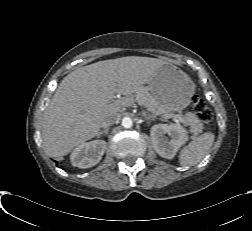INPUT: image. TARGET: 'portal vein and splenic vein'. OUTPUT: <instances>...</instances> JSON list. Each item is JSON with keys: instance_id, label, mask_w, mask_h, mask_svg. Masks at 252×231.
<instances>
[{"instance_id": "18ae733b", "label": "portal vein and splenic vein", "mask_w": 252, "mask_h": 231, "mask_svg": "<svg viewBox=\"0 0 252 231\" xmlns=\"http://www.w3.org/2000/svg\"><path fill=\"white\" fill-rule=\"evenodd\" d=\"M115 93H116L115 90H111V91L108 93V97H109V98H114V97H116V96H115ZM126 102H127L126 104L130 103L129 100H126ZM164 118H172V119H174V121L177 122V123H184L183 117H181L180 115H173V114H172V115H165Z\"/></svg>"}]
</instances>
